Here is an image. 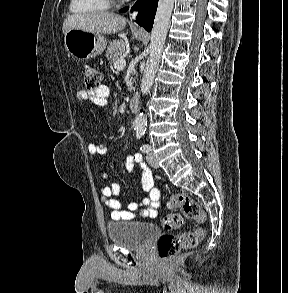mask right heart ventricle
I'll use <instances>...</instances> for the list:
<instances>
[{
	"instance_id": "right-heart-ventricle-1",
	"label": "right heart ventricle",
	"mask_w": 288,
	"mask_h": 293,
	"mask_svg": "<svg viewBox=\"0 0 288 293\" xmlns=\"http://www.w3.org/2000/svg\"><path fill=\"white\" fill-rule=\"evenodd\" d=\"M108 0H70L69 9L75 14H85L107 10Z\"/></svg>"
}]
</instances>
